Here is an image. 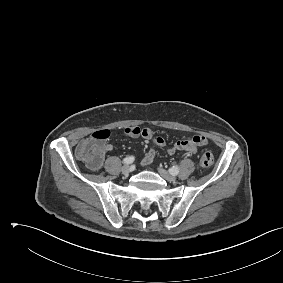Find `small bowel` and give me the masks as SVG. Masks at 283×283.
I'll use <instances>...</instances> for the list:
<instances>
[{
  "instance_id": "small-bowel-1",
  "label": "small bowel",
  "mask_w": 283,
  "mask_h": 283,
  "mask_svg": "<svg viewBox=\"0 0 283 283\" xmlns=\"http://www.w3.org/2000/svg\"><path fill=\"white\" fill-rule=\"evenodd\" d=\"M125 134L130 137H143L145 139H152L156 146H164V140L161 137H154L153 131L150 128H139L136 126L128 127L125 129ZM207 138L202 135H195L188 138H182L177 141L171 148L167 150L169 154H173L176 151H185L189 153H195L199 147L207 144ZM111 144L103 145V154L112 150ZM156 151L154 148L150 149L142 160L144 166L152 164L155 158Z\"/></svg>"
}]
</instances>
